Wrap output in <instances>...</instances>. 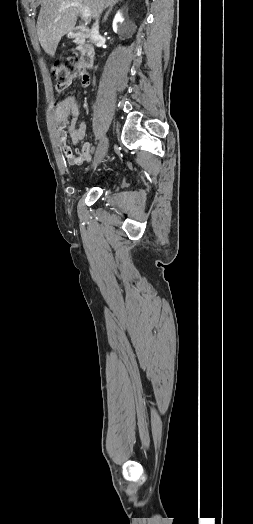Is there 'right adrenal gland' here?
<instances>
[{
    "label": "right adrenal gland",
    "instance_id": "obj_1",
    "mask_svg": "<svg viewBox=\"0 0 253 524\" xmlns=\"http://www.w3.org/2000/svg\"><path fill=\"white\" fill-rule=\"evenodd\" d=\"M119 1H121V0H117L115 3H113V4L110 6V8L108 9L106 15H105L104 18H103V22H105V21L107 20L108 15H109V13L112 11L114 5H115L116 3H118Z\"/></svg>",
    "mask_w": 253,
    "mask_h": 524
}]
</instances>
